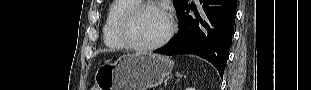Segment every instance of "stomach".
Wrapping results in <instances>:
<instances>
[{
	"label": "stomach",
	"instance_id": "obj_1",
	"mask_svg": "<svg viewBox=\"0 0 311 90\" xmlns=\"http://www.w3.org/2000/svg\"><path fill=\"white\" fill-rule=\"evenodd\" d=\"M166 56L140 52L100 66L91 90H147L160 85L173 69Z\"/></svg>",
	"mask_w": 311,
	"mask_h": 90
}]
</instances>
